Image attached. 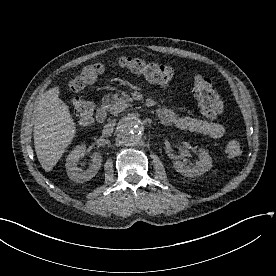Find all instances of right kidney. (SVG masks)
Here are the masks:
<instances>
[{
  "instance_id": "ca27d5eb",
  "label": "right kidney",
  "mask_w": 276,
  "mask_h": 276,
  "mask_svg": "<svg viewBox=\"0 0 276 276\" xmlns=\"http://www.w3.org/2000/svg\"><path fill=\"white\" fill-rule=\"evenodd\" d=\"M86 145L81 144L76 146L74 150L70 152L66 159V171L69 178L76 183H83L92 179L99 171L102 164V156L99 153H94L91 156L92 164L85 171H82L77 167L79 159L85 155Z\"/></svg>"
}]
</instances>
